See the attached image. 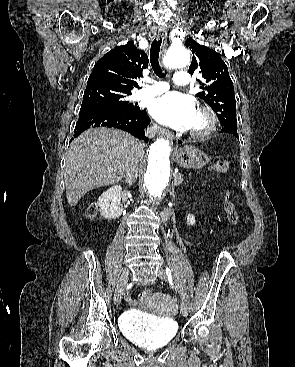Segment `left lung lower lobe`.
Here are the masks:
<instances>
[{
  "label": "left lung lower lobe",
  "instance_id": "left-lung-lower-lobe-1",
  "mask_svg": "<svg viewBox=\"0 0 295 367\" xmlns=\"http://www.w3.org/2000/svg\"><path fill=\"white\" fill-rule=\"evenodd\" d=\"M221 132L227 133V134H231V135H233V136H235L236 138L239 139L236 128H233V127H224V128L221 129Z\"/></svg>",
  "mask_w": 295,
  "mask_h": 367
}]
</instances>
